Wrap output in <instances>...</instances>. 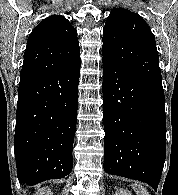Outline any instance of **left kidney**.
<instances>
[{
  "label": "left kidney",
  "instance_id": "obj_1",
  "mask_svg": "<svg viewBox=\"0 0 178 195\" xmlns=\"http://www.w3.org/2000/svg\"><path fill=\"white\" fill-rule=\"evenodd\" d=\"M114 195H132V194L128 190L120 188V189L116 190Z\"/></svg>",
  "mask_w": 178,
  "mask_h": 195
}]
</instances>
